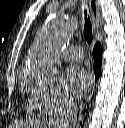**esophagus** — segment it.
Returning a JSON list of instances; mask_svg holds the SVG:
<instances>
[{
  "instance_id": "esophagus-1",
  "label": "esophagus",
  "mask_w": 125,
  "mask_h": 128,
  "mask_svg": "<svg viewBox=\"0 0 125 128\" xmlns=\"http://www.w3.org/2000/svg\"><path fill=\"white\" fill-rule=\"evenodd\" d=\"M89 7L91 11V16H92L93 30H94V33H96L99 30L100 22H101L98 0H89Z\"/></svg>"
}]
</instances>
